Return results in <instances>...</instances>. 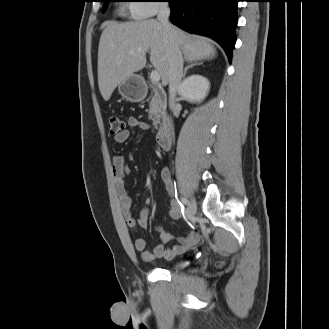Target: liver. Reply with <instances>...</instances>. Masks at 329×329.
Masks as SVG:
<instances>
[{"mask_svg":"<svg viewBox=\"0 0 329 329\" xmlns=\"http://www.w3.org/2000/svg\"><path fill=\"white\" fill-rule=\"evenodd\" d=\"M178 47L188 61L212 59L215 47L203 37H191L174 27ZM159 72L162 84L168 83L171 46L159 21L110 22L103 30L98 47V85L105 101L115 88L146 65V53Z\"/></svg>","mask_w":329,"mask_h":329,"instance_id":"obj_1","label":"liver"}]
</instances>
